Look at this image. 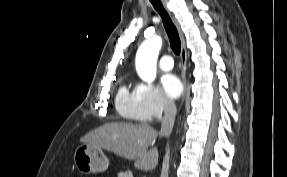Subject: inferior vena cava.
Returning a JSON list of instances; mask_svg holds the SVG:
<instances>
[{"label": "inferior vena cava", "mask_w": 287, "mask_h": 177, "mask_svg": "<svg viewBox=\"0 0 287 177\" xmlns=\"http://www.w3.org/2000/svg\"><path fill=\"white\" fill-rule=\"evenodd\" d=\"M176 105L173 100L169 98L164 99V117L161 121V136H169L172 132L175 116H176Z\"/></svg>", "instance_id": "inferior-vena-cava-1"}]
</instances>
